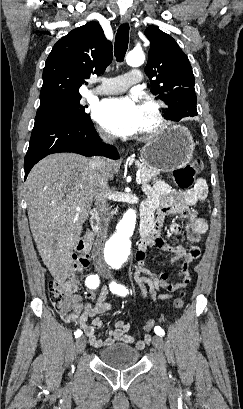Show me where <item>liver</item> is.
<instances>
[{
	"label": "liver",
	"mask_w": 243,
	"mask_h": 409,
	"mask_svg": "<svg viewBox=\"0 0 243 409\" xmlns=\"http://www.w3.org/2000/svg\"><path fill=\"white\" fill-rule=\"evenodd\" d=\"M90 159L74 153H55L39 161L25 182L27 211L38 252L57 282L69 274L73 249L88 219L94 192ZM109 180L113 163L103 160Z\"/></svg>",
	"instance_id": "liver-1"
}]
</instances>
